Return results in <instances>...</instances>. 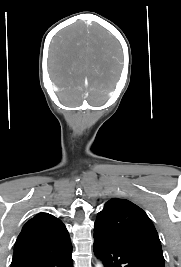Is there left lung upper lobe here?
I'll use <instances>...</instances> for the list:
<instances>
[{
	"label": "left lung upper lobe",
	"instance_id": "1",
	"mask_svg": "<svg viewBox=\"0 0 181 267\" xmlns=\"http://www.w3.org/2000/svg\"><path fill=\"white\" fill-rule=\"evenodd\" d=\"M94 234L106 235L164 264L158 233L147 214L134 203L114 198L99 212Z\"/></svg>",
	"mask_w": 181,
	"mask_h": 267
}]
</instances>
